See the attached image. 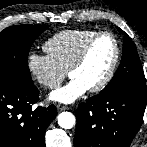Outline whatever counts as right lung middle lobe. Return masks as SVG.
<instances>
[{
  "label": "right lung middle lobe",
  "mask_w": 147,
  "mask_h": 147,
  "mask_svg": "<svg viewBox=\"0 0 147 147\" xmlns=\"http://www.w3.org/2000/svg\"><path fill=\"white\" fill-rule=\"evenodd\" d=\"M48 25H16L0 32V79L27 85L32 83L28 53L35 39Z\"/></svg>",
  "instance_id": "dd1d6c3e"
}]
</instances>
